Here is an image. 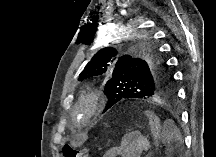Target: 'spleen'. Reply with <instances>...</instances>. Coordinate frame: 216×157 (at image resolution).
Here are the masks:
<instances>
[{
  "label": "spleen",
  "instance_id": "3e777b00",
  "mask_svg": "<svg viewBox=\"0 0 216 157\" xmlns=\"http://www.w3.org/2000/svg\"><path fill=\"white\" fill-rule=\"evenodd\" d=\"M165 129L161 135V141L166 146L167 151L171 152L175 148L182 149L183 148V139L182 135L174 126L172 120H168L164 124Z\"/></svg>",
  "mask_w": 216,
  "mask_h": 157
}]
</instances>
